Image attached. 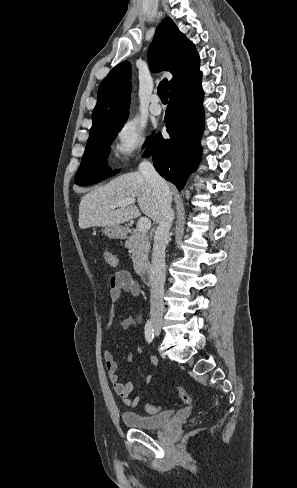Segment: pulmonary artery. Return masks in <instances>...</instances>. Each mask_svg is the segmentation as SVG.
Here are the masks:
<instances>
[{
    "label": "pulmonary artery",
    "instance_id": "obj_1",
    "mask_svg": "<svg viewBox=\"0 0 297 488\" xmlns=\"http://www.w3.org/2000/svg\"><path fill=\"white\" fill-rule=\"evenodd\" d=\"M151 114L158 116L162 113V107L159 105V97L155 94L151 98V105L149 108Z\"/></svg>",
    "mask_w": 297,
    "mask_h": 488
}]
</instances>
